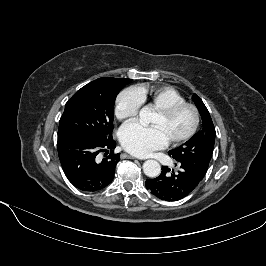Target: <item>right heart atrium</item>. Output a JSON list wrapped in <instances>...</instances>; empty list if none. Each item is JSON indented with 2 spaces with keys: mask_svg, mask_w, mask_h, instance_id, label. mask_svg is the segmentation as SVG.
<instances>
[{
  "mask_svg": "<svg viewBox=\"0 0 266 266\" xmlns=\"http://www.w3.org/2000/svg\"><path fill=\"white\" fill-rule=\"evenodd\" d=\"M144 99L136 87L124 89L116 99L115 114L118 119L126 120L137 116Z\"/></svg>",
  "mask_w": 266,
  "mask_h": 266,
  "instance_id": "1",
  "label": "right heart atrium"
}]
</instances>
